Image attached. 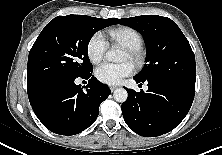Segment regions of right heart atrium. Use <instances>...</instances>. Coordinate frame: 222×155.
<instances>
[{
    "label": "right heart atrium",
    "mask_w": 222,
    "mask_h": 155,
    "mask_svg": "<svg viewBox=\"0 0 222 155\" xmlns=\"http://www.w3.org/2000/svg\"><path fill=\"white\" fill-rule=\"evenodd\" d=\"M108 42L101 32L91 36L87 44V54L92 63H99L105 56Z\"/></svg>",
    "instance_id": "obj_1"
}]
</instances>
